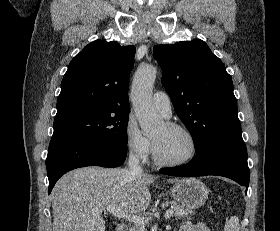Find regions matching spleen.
<instances>
[{"mask_svg": "<svg viewBox=\"0 0 280 231\" xmlns=\"http://www.w3.org/2000/svg\"><path fill=\"white\" fill-rule=\"evenodd\" d=\"M224 231H239V219L236 215H233L229 221H226Z\"/></svg>", "mask_w": 280, "mask_h": 231, "instance_id": "3e777b00", "label": "spleen"}]
</instances>
